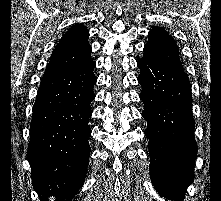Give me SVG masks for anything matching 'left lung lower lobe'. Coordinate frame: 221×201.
<instances>
[{
	"mask_svg": "<svg viewBox=\"0 0 221 201\" xmlns=\"http://www.w3.org/2000/svg\"><path fill=\"white\" fill-rule=\"evenodd\" d=\"M138 82L148 126L150 177L163 197L183 201L194 179L197 144L191 85L184 70L142 57Z\"/></svg>",
	"mask_w": 221,
	"mask_h": 201,
	"instance_id": "left-lung-lower-lobe-1",
	"label": "left lung lower lobe"
}]
</instances>
